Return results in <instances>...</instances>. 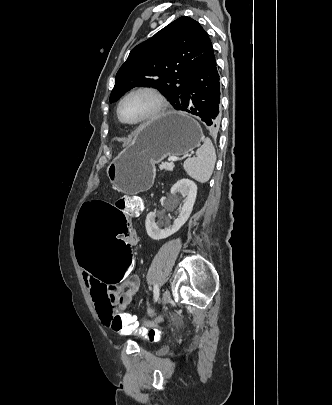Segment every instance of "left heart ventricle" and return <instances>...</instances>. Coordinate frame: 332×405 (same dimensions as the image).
<instances>
[{"instance_id": "1", "label": "left heart ventricle", "mask_w": 332, "mask_h": 405, "mask_svg": "<svg viewBox=\"0 0 332 405\" xmlns=\"http://www.w3.org/2000/svg\"><path fill=\"white\" fill-rule=\"evenodd\" d=\"M155 98L146 92L129 96L121 106V115L127 121L142 119L153 112L156 107Z\"/></svg>"}]
</instances>
